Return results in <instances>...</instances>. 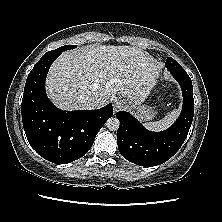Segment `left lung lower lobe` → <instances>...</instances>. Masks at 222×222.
Instances as JSON below:
<instances>
[{
    "mask_svg": "<svg viewBox=\"0 0 222 222\" xmlns=\"http://www.w3.org/2000/svg\"><path fill=\"white\" fill-rule=\"evenodd\" d=\"M170 73L181 85L183 107L177 121L167 130L151 132L144 128L130 113L120 111L117 142L120 153L128 161L141 166H156L170 159L185 141L194 115L192 82L181 68H170Z\"/></svg>",
    "mask_w": 222,
    "mask_h": 222,
    "instance_id": "0a47b994",
    "label": "left lung lower lobe"
}]
</instances>
